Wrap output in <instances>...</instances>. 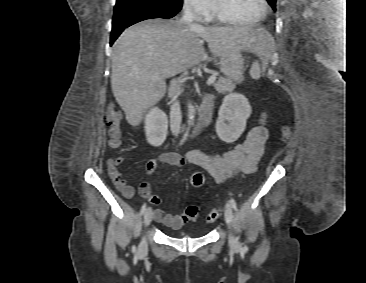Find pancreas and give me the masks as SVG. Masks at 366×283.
<instances>
[{
  "label": "pancreas",
  "mask_w": 366,
  "mask_h": 283,
  "mask_svg": "<svg viewBox=\"0 0 366 283\" xmlns=\"http://www.w3.org/2000/svg\"><path fill=\"white\" fill-rule=\"evenodd\" d=\"M214 87L219 93L232 92L235 88V83L229 78L220 77L219 80L214 83Z\"/></svg>",
  "instance_id": "1"
}]
</instances>
